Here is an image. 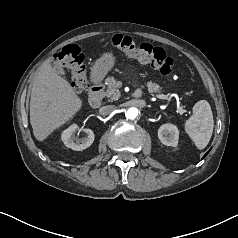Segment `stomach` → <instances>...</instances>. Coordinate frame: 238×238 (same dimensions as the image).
I'll use <instances>...</instances> for the list:
<instances>
[{
  "label": "stomach",
  "mask_w": 238,
  "mask_h": 238,
  "mask_svg": "<svg viewBox=\"0 0 238 238\" xmlns=\"http://www.w3.org/2000/svg\"><path fill=\"white\" fill-rule=\"evenodd\" d=\"M115 58L112 53H104L92 69L93 80L103 78L114 66Z\"/></svg>",
  "instance_id": "obj_1"
}]
</instances>
